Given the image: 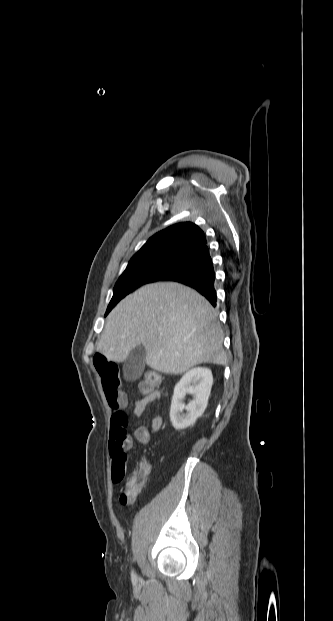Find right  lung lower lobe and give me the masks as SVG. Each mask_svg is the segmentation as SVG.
I'll list each match as a JSON object with an SVG mask.
<instances>
[{
    "label": "right lung lower lobe",
    "mask_w": 333,
    "mask_h": 621,
    "mask_svg": "<svg viewBox=\"0 0 333 621\" xmlns=\"http://www.w3.org/2000/svg\"><path fill=\"white\" fill-rule=\"evenodd\" d=\"M162 281L185 284L216 306L215 272L207 245L186 258L177 269L163 277Z\"/></svg>",
    "instance_id": "98d812e1"
}]
</instances>
